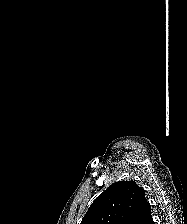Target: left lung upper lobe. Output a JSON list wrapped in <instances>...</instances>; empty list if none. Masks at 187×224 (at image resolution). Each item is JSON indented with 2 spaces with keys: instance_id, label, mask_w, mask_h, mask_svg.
I'll return each instance as SVG.
<instances>
[{
  "instance_id": "obj_1",
  "label": "left lung upper lobe",
  "mask_w": 187,
  "mask_h": 224,
  "mask_svg": "<svg viewBox=\"0 0 187 224\" xmlns=\"http://www.w3.org/2000/svg\"><path fill=\"white\" fill-rule=\"evenodd\" d=\"M80 224H154L145 191L134 181H118L91 204Z\"/></svg>"
}]
</instances>
